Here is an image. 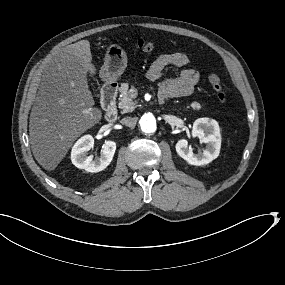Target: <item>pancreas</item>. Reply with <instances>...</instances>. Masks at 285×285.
<instances>
[{"label": "pancreas", "instance_id": "cf45deb5", "mask_svg": "<svg viewBox=\"0 0 285 285\" xmlns=\"http://www.w3.org/2000/svg\"><path fill=\"white\" fill-rule=\"evenodd\" d=\"M119 106L126 112H132L136 109L137 105L132 101L128 94L122 95L119 100ZM204 104H200L197 101H193L188 108H192L193 110L200 111Z\"/></svg>", "mask_w": 285, "mask_h": 285}]
</instances>
